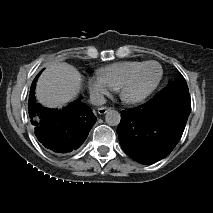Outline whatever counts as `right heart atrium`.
Listing matches in <instances>:
<instances>
[{
    "instance_id": "obj_1",
    "label": "right heart atrium",
    "mask_w": 213,
    "mask_h": 213,
    "mask_svg": "<svg viewBox=\"0 0 213 213\" xmlns=\"http://www.w3.org/2000/svg\"><path fill=\"white\" fill-rule=\"evenodd\" d=\"M87 87L91 95L98 100L112 90L108 83L100 76L89 77L87 80Z\"/></svg>"
}]
</instances>
